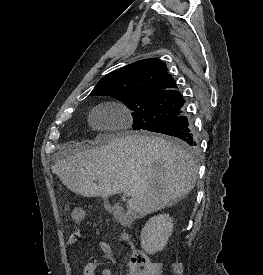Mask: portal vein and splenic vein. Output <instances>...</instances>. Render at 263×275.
I'll return each instance as SVG.
<instances>
[{"mask_svg":"<svg viewBox=\"0 0 263 275\" xmlns=\"http://www.w3.org/2000/svg\"><path fill=\"white\" fill-rule=\"evenodd\" d=\"M124 192H125V194L128 195V196L130 195V192H129V191L126 190V191H124Z\"/></svg>","mask_w":263,"mask_h":275,"instance_id":"18ae733b","label":"portal vein and splenic vein"}]
</instances>
